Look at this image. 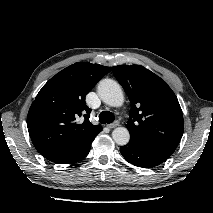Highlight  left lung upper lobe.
<instances>
[{
    "instance_id": "obj_1",
    "label": "left lung upper lobe",
    "mask_w": 213,
    "mask_h": 213,
    "mask_svg": "<svg viewBox=\"0 0 213 213\" xmlns=\"http://www.w3.org/2000/svg\"><path fill=\"white\" fill-rule=\"evenodd\" d=\"M112 71L132 104L126 125L131 139L171 155L184 130L182 110L174 92L143 66L118 65Z\"/></svg>"
}]
</instances>
